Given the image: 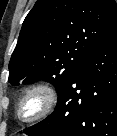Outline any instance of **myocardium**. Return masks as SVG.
Wrapping results in <instances>:
<instances>
[{
  "mask_svg": "<svg viewBox=\"0 0 117 136\" xmlns=\"http://www.w3.org/2000/svg\"><path fill=\"white\" fill-rule=\"evenodd\" d=\"M32 95H38L42 99V105L37 113L34 115L24 118L21 114L22 107ZM58 92L56 88L46 82L34 84L27 88L21 95L17 105V117L23 123H33L48 117L55 110L58 104Z\"/></svg>",
  "mask_w": 117,
  "mask_h": 136,
  "instance_id": "f54148a6",
  "label": "myocardium"
}]
</instances>
